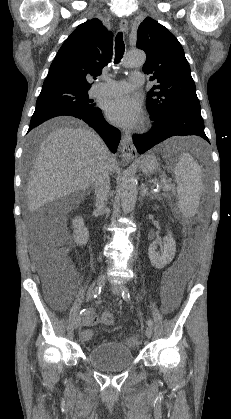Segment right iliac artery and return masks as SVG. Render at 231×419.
Returning <instances> with one entry per match:
<instances>
[{
  "mask_svg": "<svg viewBox=\"0 0 231 419\" xmlns=\"http://www.w3.org/2000/svg\"><path fill=\"white\" fill-rule=\"evenodd\" d=\"M101 289H102V287H101V286L96 287V288L92 291V297H93V298L98 297V296H99V294L101 293ZM86 313H87V310H86V309H83V310H81V311H80V314H82V315H84V314H86Z\"/></svg>",
  "mask_w": 231,
  "mask_h": 419,
  "instance_id": "82829eb1",
  "label": "right iliac artery"
}]
</instances>
